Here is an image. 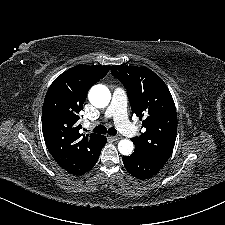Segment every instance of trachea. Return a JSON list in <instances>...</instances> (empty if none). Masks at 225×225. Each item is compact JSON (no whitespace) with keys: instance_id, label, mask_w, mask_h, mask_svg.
Here are the masks:
<instances>
[{"instance_id":"trachea-1","label":"trachea","mask_w":225,"mask_h":225,"mask_svg":"<svg viewBox=\"0 0 225 225\" xmlns=\"http://www.w3.org/2000/svg\"><path fill=\"white\" fill-rule=\"evenodd\" d=\"M93 132L98 134H105L108 133L109 135L115 136L117 134V130L114 127H111L107 130L104 125H98L93 129Z\"/></svg>"}]
</instances>
